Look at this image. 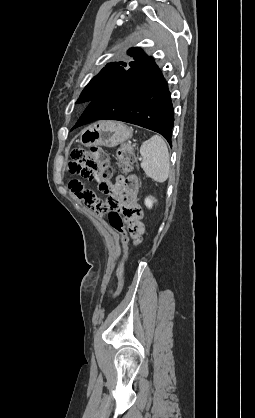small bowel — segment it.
<instances>
[{"instance_id":"1","label":"small bowel","mask_w":255,"mask_h":418,"mask_svg":"<svg viewBox=\"0 0 255 418\" xmlns=\"http://www.w3.org/2000/svg\"><path fill=\"white\" fill-rule=\"evenodd\" d=\"M114 192L120 194L123 200V207L125 211L129 210L137 203V197L139 192V182L135 175H131L125 179H120L117 185L114 187ZM125 234L132 237L133 247H140V240L145 237L147 231L145 228H126Z\"/></svg>"}]
</instances>
